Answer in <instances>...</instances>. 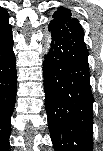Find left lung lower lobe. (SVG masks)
I'll list each match as a JSON object with an SVG mask.
<instances>
[{
  "label": "left lung lower lobe",
  "instance_id": "1",
  "mask_svg": "<svg viewBox=\"0 0 103 151\" xmlns=\"http://www.w3.org/2000/svg\"><path fill=\"white\" fill-rule=\"evenodd\" d=\"M49 30L52 49L43 62L45 106L56 151H92L93 95L88 51L79 23Z\"/></svg>",
  "mask_w": 103,
  "mask_h": 151
}]
</instances>
